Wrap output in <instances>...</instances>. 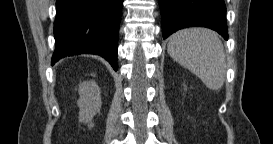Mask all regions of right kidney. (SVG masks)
Masks as SVG:
<instances>
[{"instance_id":"1","label":"right kidney","mask_w":273,"mask_h":144,"mask_svg":"<svg viewBox=\"0 0 273 144\" xmlns=\"http://www.w3.org/2000/svg\"><path fill=\"white\" fill-rule=\"evenodd\" d=\"M79 95L77 102L80 109L79 121L92 127V119L97 111L93 101L99 97V88L94 81L83 82L79 85Z\"/></svg>"}]
</instances>
